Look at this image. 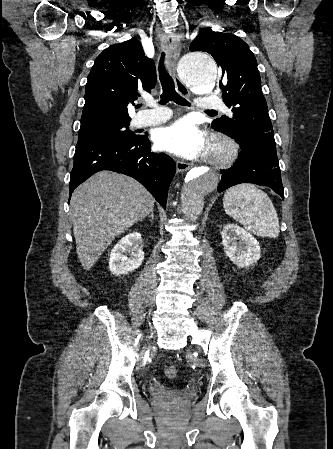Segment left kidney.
<instances>
[{
    "instance_id": "5707ae66",
    "label": "left kidney",
    "mask_w": 333,
    "mask_h": 449,
    "mask_svg": "<svg viewBox=\"0 0 333 449\" xmlns=\"http://www.w3.org/2000/svg\"><path fill=\"white\" fill-rule=\"evenodd\" d=\"M221 234L225 254L237 266H250L261 257L258 241L237 224H227Z\"/></svg>"
}]
</instances>
